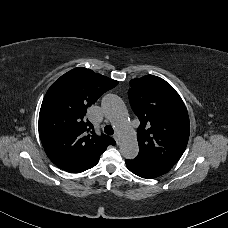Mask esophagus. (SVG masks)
Returning <instances> with one entry per match:
<instances>
[{
    "mask_svg": "<svg viewBox=\"0 0 228 228\" xmlns=\"http://www.w3.org/2000/svg\"><path fill=\"white\" fill-rule=\"evenodd\" d=\"M113 137H114V139L116 140V142L119 143V136H118V134L115 133Z\"/></svg>",
    "mask_w": 228,
    "mask_h": 228,
    "instance_id": "34e87169",
    "label": "esophagus"
}]
</instances>
